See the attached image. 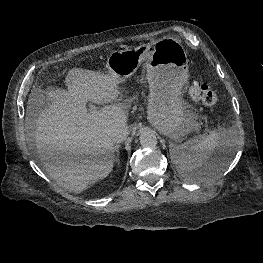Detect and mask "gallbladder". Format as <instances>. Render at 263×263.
<instances>
[{
    "instance_id": "1",
    "label": "gallbladder",
    "mask_w": 263,
    "mask_h": 263,
    "mask_svg": "<svg viewBox=\"0 0 263 263\" xmlns=\"http://www.w3.org/2000/svg\"><path fill=\"white\" fill-rule=\"evenodd\" d=\"M50 105V101L48 99H45L44 103H43V106L44 107H47Z\"/></svg>"
}]
</instances>
